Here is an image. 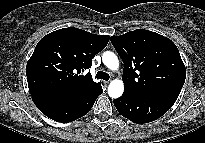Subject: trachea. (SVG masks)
Returning <instances> with one entry per match:
<instances>
[{
	"mask_svg": "<svg viewBox=\"0 0 205 143\" xmlns=\"http://www.w3.org/2000/svg\"><path fill=\"white\" fill-rule=\"evenodd\" d=\"M96 78H97V79H103V80L108 81L109 78H110V76H109V74L106 73V72L99 71V72H97V74H96Z\"/></svg>",
	"mask_w": 205,
	"mask_h": 143,
	"instance_id": "trachea-1",
	"label": "trachea"
}]
</instances>
